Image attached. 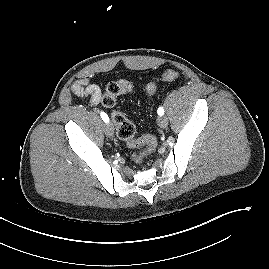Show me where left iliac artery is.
<instances>
[{
	"label": "left iliac artery",
	"mask_w": 269,
	"mask_h": 269,
	"mask_svg": "<svg viewBox=\"0 0 269 269\" xmlns=\"http://www.w3.org/2000/svg\"><path fill=\"white\" fill-rule=\"evenodd\" d=\"M158 115L162 116L164 114V108L163 107H159L157 110Z\"/></svg>",
	"instance_id": "1"
}]
</instances>
